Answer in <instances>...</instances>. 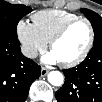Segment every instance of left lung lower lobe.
Masks as SVG:
<instances>
[{"label": "left lung lower lobe", "instance_id": "obj_1", "mask_svg": "<svg viewBox=\"0 0 102 102\" xmlns=\"http://www.w3.org/2000/svg\"><path fill=\"white\" fill-rule=\"evenodd\" d=\"M63 72L65 84L55 93L58 102H102V43L77 67Z\"/></svg>", "mask_w": 102, "mask_h": 102}]
</instances>
